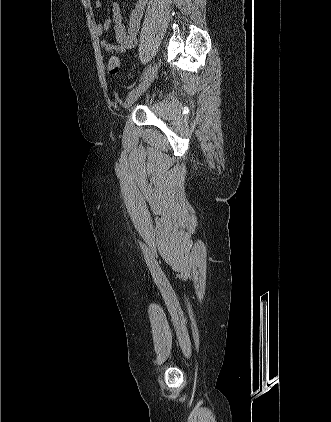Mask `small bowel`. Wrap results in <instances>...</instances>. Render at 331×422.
Segmentation results:
<instances>
[{
	"label": "small bowel",
	"mask_w": 331,
	"mask_h": 422,
	"mask_svg": "<svg viewBox=\"0 0 331 422\" xmlns=\"http://www.w3.org/2000/svg\"><path fill=\"white\" fill-rule=\"evenodd\" d=\"M147 2L148 0H136L135 7L129 16L127 27L123 24L120 5L117 2L112 4L111 15L102 23H98L95 30L99 36H102L108 32L110 25L113 23V33L117 44H113L109 39H103L100 43L102 49L113 56L124 53L135 46L137 32ZM94 6L95 8H101L102 1L95 0Z\"/></svg>",
	"instance_id": "1"
}]
</instances>
